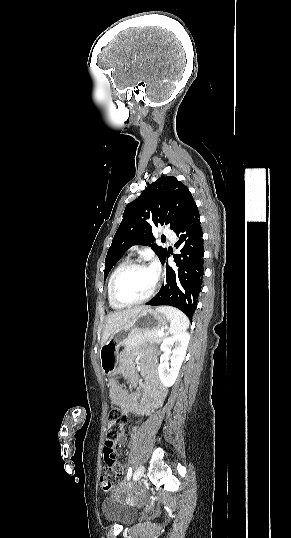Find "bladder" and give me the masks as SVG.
I'll use <instances>...</instances> for the list:
<instances>
[{"label": "bladder", "instance_id": "bladder-1", "mask_svg": "<svg viewBox=\"0 0 291 538\" xmlns=\"http://www.w3.org/2000/svg\"><path fill=\"white\" fill-rule=\"evenodd\" d=\"M102 511L108 519L123 525L129 523L136 514L134 509L121 506L112 498L104 500Z\"/></svg>", "mask_w": 291, "mask_h": 538}]
</instances>
